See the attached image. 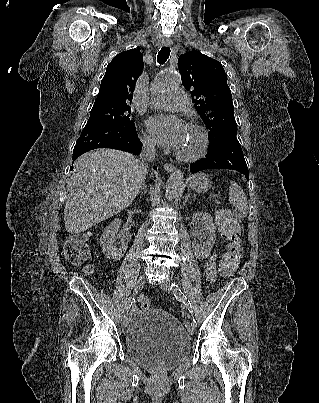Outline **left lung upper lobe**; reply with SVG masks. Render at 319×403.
I'll list each match as a JSON object with an SVG mask.
<instances>
[{"mask_svg": "<svg viewBox=\"0 0 319 403\" xmlns=\"http://www.w3.org/2000/svg\"><path fill=\"white\" fill-rule=\"evenodd\" d=\"M183 86L191 92L195 109L210 130V149L236 138L232 94L221 63L199 51L187 52L178 59Z\"/></svg>", "mask_w": 319, "mask_h": 403, "instance_id": "obj_1", "label": "left lung upper lobe"}]
</instances>
